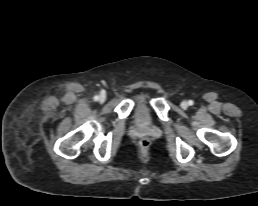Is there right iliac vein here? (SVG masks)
<instances>
[{
	"instance_id": "1",
	"label": "right iliac vein",
	"mask_w": 258,
	"mask_h": 206,
	"mask_svg": "<svg viewBox=\"0 0 258 206\" xmlns=\"http://www.w3.org/2000/svg\"><path fill=\"white\" fill-rule=\"evenodd\" d=\"M99 102L100 103H104L105 102V100H106V96L104 95V94H101L100 96H99Z\"/></svg>"
}]
</instances>
